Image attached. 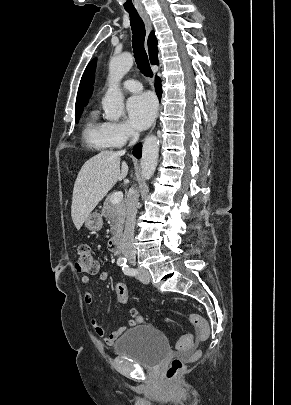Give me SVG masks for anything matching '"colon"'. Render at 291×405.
I'll use <instances>...</instances> for the list:
<instances>
[{
  "label": "colon",
  "mask_w": 291,
  "mask_h": 405,
  "mask_svg": "<svg viewBox=\"0 0 291 405\" xmlns=\"http://www.w3.org/2000/svg\"><path fill=\"white\" fill-rule=\"evenodd\" d=\"M75 268L78 272L96 274L99 270L98 262L93 254L91 247L87 244H82L77 248V256L75 260ZM115 293L118 302L126 303L128 301V289L124 282H118L115 286ZM190 321L198 332L199 339L206 341L211 333L210 326L206 319L197 314L190 315ZM193 342L191 335H184L178 341V349L187 350ZM200 351L194 353L191 360H195L200 356ZM185 362L181 358H174L166 372L168 380L175 379L183 370Z\"/></svg>",
  "instance_id": "obj_1"
}]
</instances>
